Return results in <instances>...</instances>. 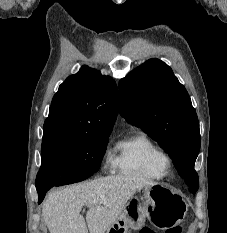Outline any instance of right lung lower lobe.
<instances>
[{"instance_id": "98d812e1", "label": "right lung lower lobe", "mask_w": 227, "mask_h": 233, "mask_svg": "<svg viewBox=\"0 0 227 233\" xmlns=\"http://www.w3.org/2000/svg\"><path fill=\"white\" fill-rule=\"evenodd\" d=\"M50 188H46V189H41V190H38V196H39V201L38 203H41L45 197V194L46 192L49 190Z\"/></svg>"}]
</instances>
